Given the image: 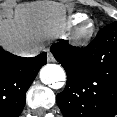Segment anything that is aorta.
Instances as JSON below:
<instances>
[{
    "label": "aorta",
    "instance_id": "762f6f07",
    "mask_svg": "<svg viewBox=\"0 0 117 117\" xmlns=\"http://www.w3.org/2000/svg\"><path fill=\"white\" fill-rule=\"evenodd\" d=\"M65 79V71L60 65L47 64L40 70V80L46 85L55 84Z\"/></svg>",
    "mask_w": 117,
    "mask_h": 117
}]
</instances>
